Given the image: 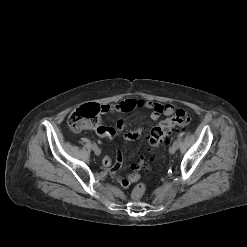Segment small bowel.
<instances>
[{"label":"small bowel","mask_w":247,"mask_h":247,"mask_svg":"<svg viewBox=\"0 0 247 247\" xmlns=\"http://www.w3.org/2000/svg\"><path fill=\"white\" fill-rule=\"evenodd\" d=\"M145 108L152 111L150 117L152 120H157L161 115H171L174 112V107L170 104H161L157 102L151 101H143V100H135V99H125L117 104L112 105H104L102 106L103 112L102 113H127L135 108ZM124 128V121L119 120L117 121L114 127H107L104 125H100L96 128H92L96 132L97 135L100 137H107L113 138L118 133H120ZM143 132V128H139L135 131H131L125 134V139L127 141H133L140 137ZM144 162L143 156H139L137 160L131 164L130 168L132 173L129 174L127 177H123L119 175L118 171L122 167L123 158L120 152L117 153V158L115 165L110 170V175L114 178L123 188H128L131 183L136 182L139 179V174L137 171L142 166ZM102 164L105 167H110L112 164L111 158L106 155L102 159Z\"/></svg>","instance_id":"1"}]
</instances>
